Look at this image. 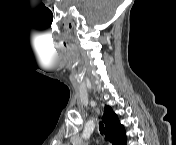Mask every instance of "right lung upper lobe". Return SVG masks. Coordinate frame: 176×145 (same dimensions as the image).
I'll list each match as a JSON object with an SVG mask.
<instances>
[{"mask_svg":"<svg viewBox=\"0 0 176 145\" xmlns=\"http://www.w3.org/2000/svg\"><path fill=\"white\" fill-rule=\"evenodd\" d=\"M102 120L106 126L105 139L112 145H125L126 135L124 127L120 124L117 115L111 107L105 106Z\"/></svg>","mask_w":176,"mask_h":145,"instance_id":"obj_1","label":"right lung upper lobe"}]
</instances>
